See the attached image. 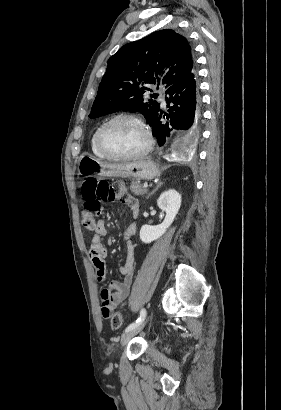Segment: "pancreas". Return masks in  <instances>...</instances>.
Here are the masks:
<instances>
[{"instance_id":"obj_1","label":"pancreas","mask_w":281,"mask_h":410,"mask_svg":"<svg viewBox=\"0 0 281 410\" xmlns=\"http://www.w3.org/2000/svg\"><path fill=\"white\" fill-rule=\"evenodd\" d=\"M130 190L135 195H143V194L147 193V189L142 187L140 181H138V180L131 182Z\"/></svg>"}]
</instances>
